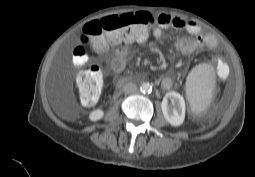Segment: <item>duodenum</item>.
I'll use <instances>...</instances> for the list:
<instances>
[{
    "label": "duodenum",
    "mask_w": 255,
    "mask_h": 177,
    "mask_svg": "<svg viewBox=\"0 0 255 177\" xmlns=\"http://www.w3.org/2000/svg\"><path fill=\"white\" fill-rule=\"evenodd\" d=\"M125 82H126V79L123 78V79L119 80L118 85L120 86V85H122V84L125 83Z\"/></svg>",
    "instance_id": "1"
}]
</instances>
